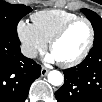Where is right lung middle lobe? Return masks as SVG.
<instances>
[{"mask_svg":"<svg viewBox=\"0 0 102 102\" xmlns=\"http://www.w3.org/2000/svg\"><path fill=\"white\" fill-rule=\"evenodd\" d=\"M32 9L22 4L0 1V36H17V24Z\"/></svg>","mask_w":102,"mask_h":102,"instance_id":"right-lung-middle-lobe-1","label":"right lung middle lobe"}]
</instances>
